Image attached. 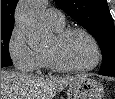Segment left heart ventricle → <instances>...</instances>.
Wrapping results in <instances>:
<instances>
[{
    "instance_id": "left-heart-ventricle-1",
    "label": "left heart ventricle",
    "mask_w": 115,
    "mask_h": 99,
    "mask_svg": "<svg viewBox=\"0 0 115 99\" xmlns=\"http://www.w3.org/2000/svg\"><path fill=\"white\" fill-rule=\"evenodd\" d=\"M46 51L52 52L61 64L71 67L87 66L94 59L92 44L80 33H73L61 42L53 37Z\"/></svg>"
}]
</instances>
